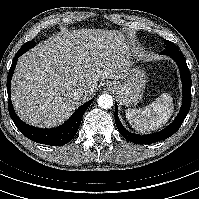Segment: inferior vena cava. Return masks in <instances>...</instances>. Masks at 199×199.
Instances as JSON below:
<instances>
[{
	"mask_svg": "<svg viewBox=\"0 0 199 199\" xmlns=\"http://www.w3.org/2000/svg\"><path fill=\"white\" fill-rule=\"evenodd\" d=\"M84 93H85V90L81 87H78L74 92V96L81 98L84 95Z\"/></svg>",
	"mask_w": 199,
	"mask_h": 199,
	"instance_id": "1",
	"label": "inferior vena cava"
}]
</instances>
